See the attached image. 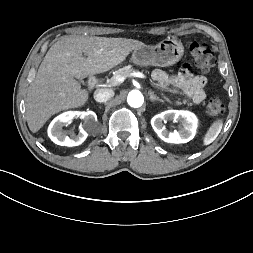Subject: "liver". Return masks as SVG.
<instances>
[{"label": "liver", "instance_id": "6515ba94", "mask_svg": "<svg viewBox=\"0 0 253 253\" xmlns=\"http://www.w3.org/2000/svg\"><path fill=\"white\" fill-rule=\"evenodd\" d=\"M142 46L144 43L126 38L77 36L58 40L48 50L28 88L29 129L35 133L52 115L83 106L89 93L76 79L106 72Z\"/></svg>", "mask_w": 253, "mask_h": 253}]
</instances>
